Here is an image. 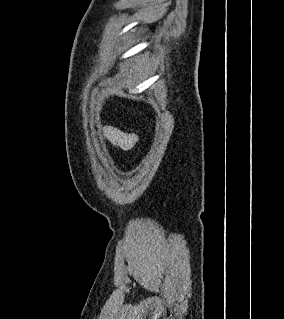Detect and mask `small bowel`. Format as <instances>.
Returning a JSON list of instances; mask_svg holds the SVG:
<instances>
[{"mask_svg":"<svg viewBox=\"0 0 284 319\" xmlns=\"http://www.w3.org/2000/svg\"><path fill=\"white\" fill-rule=\"evenodd\" d=\"M104 132L112 145L123 150L131 149L138 141V136L136 134L124 132L114 127H106Z\"/></svg>","mask_w":284,"mask_h":319,"instance_id":"small-bowel-1","label":"small bowel"}]
</instances>
